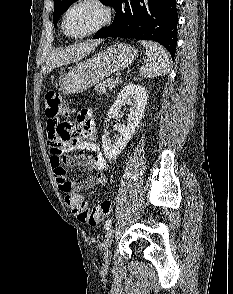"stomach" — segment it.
Here are the masks:
<instances>
[{
	"label": "stomach",
	"mask_w": 233,
	"mask_h": 294,
	"mask_svg": "<svg viewBox=\"0 0 233 294\" xmlns=\"http://www.w3.org/2000/svg\"><path fill=\"white\" fill-rule=\"evenodd\" d=\"M137 54L133 46L117 43L71 68L59 78L57 86L64 94L83 92L100 80L129 67Z\"/></svg>",
	"instance_id": "1"
}]
</instances>
